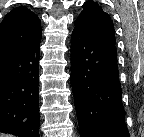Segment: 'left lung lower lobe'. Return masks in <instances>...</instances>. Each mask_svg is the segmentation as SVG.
<instances>
[{"mask_svg":"<svg viewBox=\"0 0 144 137\" xmlns=\"http://www.w3.org/2000/svg\"><path fill=\"white\" fill-rule=\"evenodd\" d=\"M71 83L82 137H130L121 101L115 43L75 25Z\"/></svg>","mask_w":144,"mask_h":137,"instance_id":"obj_1","label":"left lung lower lobe"}]
</instances>
